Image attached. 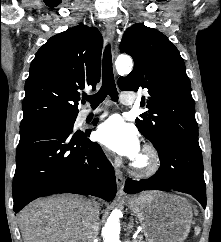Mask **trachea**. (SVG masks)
<instances>
[{"instance_id":"1","label":"trachea","mask_w":221,"mask_h":242,"mask_svg":"<svg viewBox=\"0 0 221 242\" xmlns=\"http://www.w3.org/2000/svg\"><path fill=\"white\" fill-rule=\"evenodd\" d=\"M109 95L114 102H118V92L114 82L111 48L110 45H106L103 55L102 66V86L100 90L91 96H83L84 99L91 103V106L96 107L104 101Z\"/></svg>"}]
</instances>
